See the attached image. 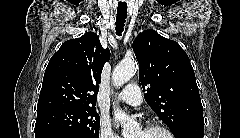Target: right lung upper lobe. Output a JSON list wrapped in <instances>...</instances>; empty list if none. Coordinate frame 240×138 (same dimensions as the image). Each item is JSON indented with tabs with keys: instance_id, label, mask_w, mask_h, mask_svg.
Listing matches in <instances>:
<instances>
[{
	"instance_id": "cb5924a9",
	"label": "right lung upper lobe",
	"mask_w": 240,
	"mask_h": 138,
	"mask_svg": "<svg viewBox=\"0 0 240 138\" xmlns=\"http://www.w3.org/2000/svg\"><path fill=\"white\" fill-rule=\"evenodd\" d=\"M109 58V49L102 48L93 32L64 42L47 65L37 115L58 109H95L101 72Z\"/></svg>"
}]
</instances>
